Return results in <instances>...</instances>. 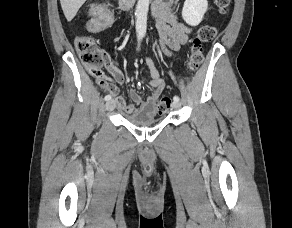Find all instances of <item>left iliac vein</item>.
<instances>
[{
  "label": "left iliac vein",
  "instance_id": "1",
  "mask_svg": "<svg viewBox=\"0 0 292 228\" xmlns=\"http://www.w3.org/2000/svg\"><path fill=\"white\" fill-rule=\"evenodd\" d=\"M172 107H173L174 109H179V108L181 107V104H180L179 101H173V103H172Z\"/></svg>",
  "mask_w": 292,
  "mask_h": 228
}]
</instances>
